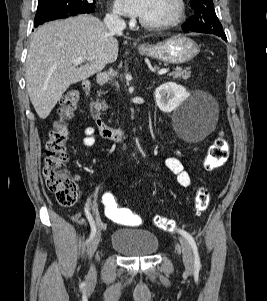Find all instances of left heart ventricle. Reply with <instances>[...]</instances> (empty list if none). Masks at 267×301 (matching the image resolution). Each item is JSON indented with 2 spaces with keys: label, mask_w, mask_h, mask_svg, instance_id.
<instances>
[{
  "label": "left heart ventricle",
  "mask_w": 267,
  "mask_h": 301,
  "mask_svg": "<svg viewBox=\"0 0 267 301\" xmlns=\"http://www.w3.org/2000/svg\"><path fill=\"white\" fill-rule=\"evenodd\" d=\"M175 11V0H148L141 19L148 22H163L172 18Z\"/></svg>",
  "instance_id": "obj_1"
}]
</instances>
